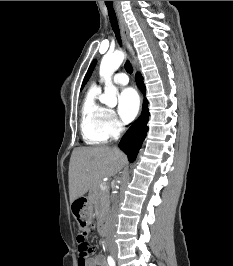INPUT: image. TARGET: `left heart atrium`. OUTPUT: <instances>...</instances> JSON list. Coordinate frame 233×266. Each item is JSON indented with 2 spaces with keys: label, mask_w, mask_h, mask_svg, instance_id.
I'll use <instances>...</instances> for the list:
<instances>
[{
  "label": "left heart atrium",
  "mask_w": 233,
  "mask_h": 266,
  "mask_svg": "<svg viewBox=\"0 0 233 266\" xmlns=\"http://www.w3.org/2000/svg\"><path fill=\"white\" fill-rule=\"evenodd\" d=\"M139 111V97L133 88H125L118 98V113L124 122L132 121Z\"/></svg>",
  "instance_id": "obj_1"
}]
</instances>
